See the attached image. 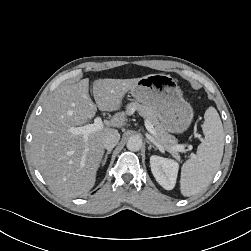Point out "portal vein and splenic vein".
<instances>
[{"mask_svg": "<svg viewBox=\"0 0 251 251\" xmlns=\"http://www.w3.org/2000/svg\"><path fill=\"white\" fill-rule=\"evenodd\" d=\"M145 127L147 131L152 135L153 142L156 143V145L161 148V145L158 144V142L155 141L154 136L156 135V132L152 126V124L145 120ZM103 128V122L100 117H96L94 119L93 124H88L81 127H72L69 129V131L74 135H83L84 140L87 141L89 134L94 133L98 130H101ZM201 139V137H199ZM186 145L178 144L173 147V150L179 151V152H186L185 150Z\"/></svg>", "mask_w": 251, "mask_h": 251, "instance_id": "18ae733b", "label": "portal vein and splenic vein"}]
</instances>
